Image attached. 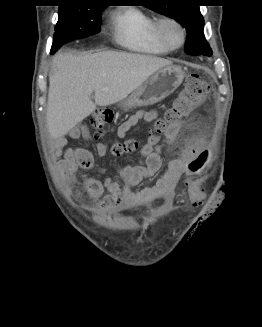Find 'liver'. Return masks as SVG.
Returning a JSON list of instances; mask_svg holds the SVG:
<instances>
[{
  "label": "liver",
  "mask_w": 262,
  "mask_h": 327,
  "mask_svg": "<svg viewBox=\"0 0 262 327\" xmlns=\"http://www.w3.org/2000/svg\"><path fill=\"white\" fill-rule=\"evenodd\" d=\"M171 64L156 56L115 51L58 53L49 74L48 132L53 139L66 135L97 106L125 99L151 75Z\"/></svg>",
  "instance_id": "1"
}]
</instances>
